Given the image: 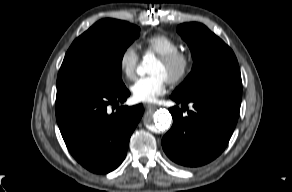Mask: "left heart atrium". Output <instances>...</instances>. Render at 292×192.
Instances as JSON below:
<instances>
[{
	"label": "left heart atrium",
	"instance_id": "1",
	"mask_svg": "<svg viewBox=\"0 0 292 192\" xmlns=\"http://www.w3.org/2000/svg\"><path fill=\"white\" fill-rule=\"evenodd\" d=\"M167 78L159 73L137 79L130 87L137 102H153L166 92Z\"/></svg>",
	"mask_w": 292,
	"mask_h": 192
}]
</instances>
